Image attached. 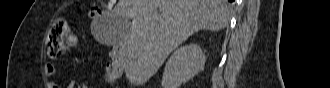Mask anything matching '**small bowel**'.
<instances>
[{"mask_svg": "<svg viewBox=\"0 0 330 88\" xmlns=\"http://www.w3.org/2000/svg\"><path fill=\"white\" fill-rule=\"evenodd\" d=\"M76 46H77V41H75V42H73V43H71V44L69 45V47H70L71 49H75ZM44 72H45V74H46L47 76H54V75H56V74L58 73V69H57V67H56L55 65H53V64H46L45 67H44ZM50 87H51V88H59L60 86H59L57 83L52 82V83L50 84ZM74 87H75V81H74V80L70 79V80H68V81L66 82V88H74ZM81 87H82V88H86L85 85H82Z\"/></svg>", "mask_w": 330, "mask_h": 88, "instance_id": "1", "label": "small bowel"}]
</instances>
